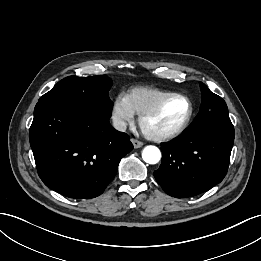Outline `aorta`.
<instances>
[{
    "label": "aorta",
    "mask_w": 261,
    "mask_h": 261,
    "mask_svg": "<svg viewBox=\"0 0 261 261\" xmlns=\"http://www.w3.org/2000/svg\"><path fill=\"white\" fill-rule=\"evenodd\" d=\"M142 158L146 163L156 164L161 159V152L156 146H146L142 152Z\"/></svg>",
    "instance_id": "762f6f07"
}]
</instances>
